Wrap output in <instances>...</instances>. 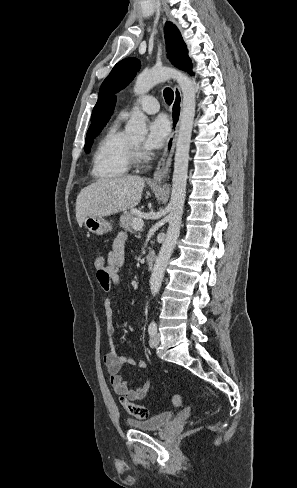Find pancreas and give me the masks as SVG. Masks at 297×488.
I'll list each match as a JSON object with an SVG mask.
<instances>
[{
  "label": "pancreas",
  "instance_id": "pancreas-1",
  "mask_svg": "<svg viewBox=\"0 0 297 488\" xmlns=\"http://www.w3.org/2000/svg\"><path fill=\"white\" fill-rule=\"evenodd\" d=\"M135 218H137V212L134 211L124 212L120 216V227L123 228L125 231H129V232L133 231L134 227L132 221Z\"/></svg>",
  "mask_w": 297,
  "mask_h": 488
}]
</instances>
